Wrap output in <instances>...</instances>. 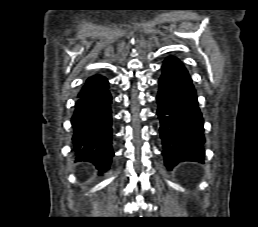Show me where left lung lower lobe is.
<instances>
[{
    "label": "left lung lower lobe",
    "instance_id": "1",
    "mask_svg": "<svg viewBox=\"0 0 258 227\" xmlns=\"http://www.w3.org/2000/svg\"><path fill=\"white\" fill-rule=\"evenodd\" d=\"M157 115L165 165L204 160L203 118L188 71L176 57L164 60L158 81Z\"/></svg>",
    "mask_w": 258,
    "mask_h": 227
}]
</instances>
